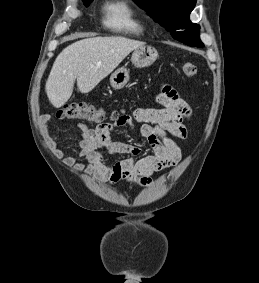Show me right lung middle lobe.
<instances>
[{
	"mask_svg": "<svg viewBox=\"0 0 259 283\" xmlns=\"http://www.w3.org/2000/svg\"><path fill=\"white\" fill-rule=\"evenodd\" d=\"M93 0H83L84 4L88 6Z\"/></svg>",
	"mask_w": 259,
	"mask_h": 283,
	"instance_id": "dd1d6c3e",
	"label": "right lung middle lobe"
}]
</instances>
